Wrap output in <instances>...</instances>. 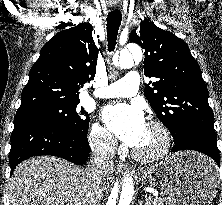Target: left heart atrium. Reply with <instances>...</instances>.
Listing matches in <instances>:
<instances>
[{
  "label": "left heart atrium",
  "mask_w": 222,
  "mask_h": 205,
  "mask_svg": "<svg viewBox=\"0 0 222 205\" xmlns=\"http://www.w3.org/2000/svg\"><path fill=\"white\" fill-rule=\"evenodd\" d=\"M108 127L125 144L135 147L142 139L147 123L142 109L136 104H116L103 112Z\"/></svg>",
  "instance_id": "obj_1"
}]
</instances>
